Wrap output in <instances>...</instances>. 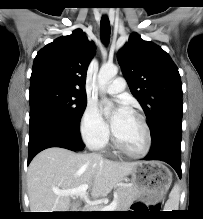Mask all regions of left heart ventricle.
<instances>
[{"label":"left heart ventricle","instance_id":"obj_1","mask_svg":"<svg viewBox=\"0 0 203 219\" xmlns=\"http://www.w3.org/2000/svg\"><path fill=\"white\" fill-rule=\"evenodd\" d=\"M121 144L130 151L139 152L145 144V132L140 120L129 113L113 128Z\"/></svg>","mask_w":203,"mask_h":219}]
</instances>
